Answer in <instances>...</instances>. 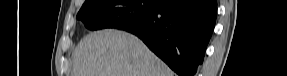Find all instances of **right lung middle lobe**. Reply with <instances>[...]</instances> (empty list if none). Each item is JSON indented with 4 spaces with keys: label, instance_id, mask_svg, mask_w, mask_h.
I'll list each match as a JSON object with an SVG mask.
<instances>
[{
    "label": "right lung middle lobe",
    "instance_id": "dd1d6c3e",
    "mask_svg": "<svg viewBox=\"0 0 287 76\" xmlns=\"http://www.w3.org/2000/svg\"><path fill=\"white\" fill-rule=\"evenodd\" d=\"M157 0H89L77 14L89 30L123 29L150 16Z\"/></svg>",
    "mask_w": 287,
    "mask_h": 76
}]
</instances>
